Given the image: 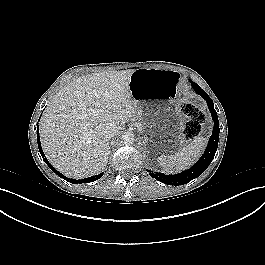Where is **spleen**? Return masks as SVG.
Listing matches in <instances>:
<instances>
[{
    "label": "spleen",
    "mask_w": 265,
    "mask_h": 265,
    "mask_svg": "<svg viewBox=\"0 0 265 265\" xmlns=\"http://www.w3.org/2000/svg\"><path fill=\"white\" fill-rule=\"evenodd\" d=\"M205 146L206 139L197 137L186 147L180 148L174 154L161 155L157 161L166 172L184 170L200 157Z\"/></svg>",
    "instance_id": "obj_1"
}]
</instances>
